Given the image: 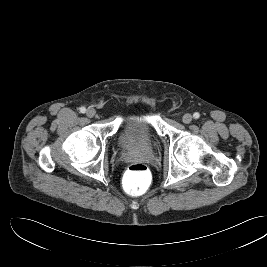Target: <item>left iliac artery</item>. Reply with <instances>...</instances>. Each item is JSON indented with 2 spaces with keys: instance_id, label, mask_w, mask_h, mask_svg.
<instances>
[{
  "instance_id": "44dca946",
  "label": "left iliac artery",
  "mask_w": 267,
  "mask_h": 267,
  "mask_svg": "<svg viewBox=\"0 0 267 267\" xmlns=\"http://www.w3.org/2000/svg\"><path fill=\"white\" fill-rule=\"evenodd\" d=\"M194 119H198L200 117V114L198 112H195L193 114Z\"/></svg>"
}]
</instances>
